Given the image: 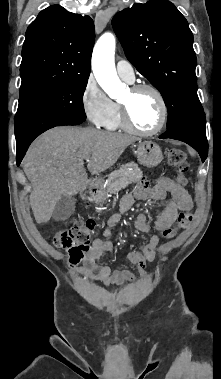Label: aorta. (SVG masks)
<instances>
[{
  "mask_svg": "<svg viewBox=\"0 0 221 379\" xmlns=\"http://www.w3.org/2000/svg\"><path fill=\"white\" fill-rule=\"evenodd\" d=\"M115 37L111 33L103 34L95 44L92 55V70L101 88L111 97L116 98L123 91L114 62Z\"/></svg>",
  "mask_w": 221,
  "mask_h": 379,
  "instance_id": "1",
  "label": "aorta"
}]
</instances>
